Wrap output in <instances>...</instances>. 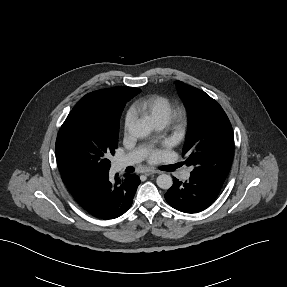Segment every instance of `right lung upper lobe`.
Masks as SVG:
<instances>
[{
  "instance_id": "cb5924a9",
  "label": "right lung upper lobe",
  "mask_w": 287,
  "mask_h": 287,
  "mask_svg": "<svg viewBox=\"0 0 287 287\" xmlns=\"http://www.w3.org/2000/svg\"><path fill=\"white\" fill-rule=\"evenodd\" d=\"M141 90L138 88L118 86L109 89L98 90L87 94L86 96H93L96 102H105L109 109L117 112L123 108L127 101L137 95ZM65 182L76 181L67 173L60 171Z\"/></svg>"
}]
</instances>
